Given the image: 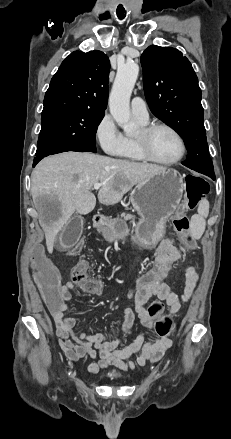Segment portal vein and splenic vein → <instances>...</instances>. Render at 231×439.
<instances>
[{
  "label": "portal vein and splenic vein",
  "mask_w": 231,
  "mask_h": 439,
  "mask_svg": "<svg viewBox=\"0 0 231 439\" xmlns=\"http://www.w3.org/2000/svg\"><path fill=\"white\" fill-rule=\"evenodd\" d=\"M101 186H102L101 183H95V184L93 185V188H94L95 190H99Z\"/></svg>",
  "instance_id": "18ae733b"
}]
</instances>
